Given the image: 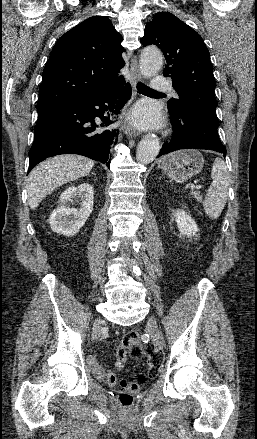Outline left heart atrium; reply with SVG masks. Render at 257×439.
I'll return each mask as SVG.
<instances>
[{
  "instance_id": "39dd6f15",
  "label": "left heart atrium",
  "mask_w": 257,
  "mask_h": 439,
  "mask_svg": "<svg viewBox=\"0 0 257 439\" xmlns=\"http://www.w3.org/2000/svg\"><path fill=\"white\" fill-rule=\"evenodd\" d=\"M132 119L135 124L141 127L157 126L160 123L157 110L148 104L137 106L133 110Z\"/></svg>"
}]
</instances>
